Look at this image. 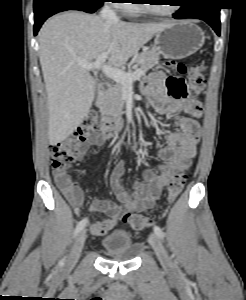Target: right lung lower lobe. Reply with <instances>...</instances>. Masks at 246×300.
Here are the masks:
<instances>
[{
  "label": "right lung lower lobe",
  "mask_w": 246,
  "mask_h": 300,
  "mask_svg": "<svg viewBox=\"0 0 246 300\" xmlns=\"http://www.w3.org/2000/svg\"><path fill=\"white\" fill-rule=\"evenodd\" d=\"M103 3V0L101 1ZM101 7L100 2L96 0H39L34 2V34L38 33L44 21L62 11L80 10L88 13H94Z\"/></svg>",
  "instance_id": "98d812e1"
}]
</instances>
